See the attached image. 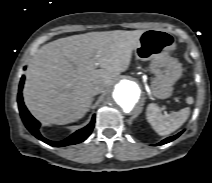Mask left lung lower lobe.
<instances>
[{
  "label": "left lung lower lobe",
  "instance_id": "left-lung-lower-lobe-1",
  "mask_svg": "<svg viewBox=\"0 0 212 183\" xmlns=\"http://www.w3.org/2000/svg\"><path fill=\"white\" fill-rule=\"evenodd\" d=\"M182 132H183V131H182ZM182 132L178 133V134L175 135V136L168 137V138L164 139L163 141H161V142H160L159 144H157V145H163V144H166V143H168V142L173 141V140L176 139L178 136H180Z\"/></svg>",
  "mask_w": 212,
  "mask_h": 183
}]
</instances>
